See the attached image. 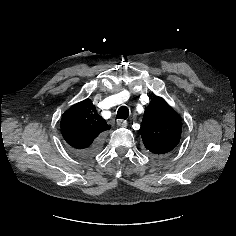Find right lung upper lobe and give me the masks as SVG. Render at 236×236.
Masks as SVG:
<instances>
[{
    "mask_svg": "<svg viewBox=\"0 0 236 236\" xmlns=\"http://www.w3.org/2000/svg\"><path fill=\"white\" fill-rule=\"evenodd\" d=\"M61 133L65 141L76 150H84L109 130L106 121L99 116L90 99H85L67 111L61 118Z\"/></svg>",
    "mask_w": 236,
    "mask_h": 236,
    "instance_id": "obj_1",
    "label": "right lung upper lobe"
}]
</instances>
